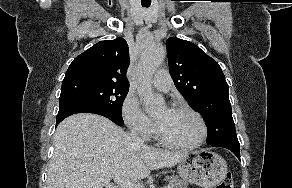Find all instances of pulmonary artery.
<instances>
[{
    "label": "pulmonary artery",
    "mask_w": 292,
    "mask_h": 188,
    "mask_svg": "<svg viewBox=\"0 0 292 188\" xmlns=\"http://www.w3.org/2000/svg\"><path fill=\"white\" fill-rule=\"evenodd\" d=\"M151 82L156 89L163 92H168L173 86L172 78L166 69L156 71Z\"/></svg>",
    "instance_id": "e3ab8cb5"
}]
</instances>
